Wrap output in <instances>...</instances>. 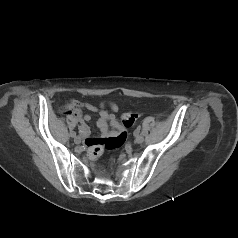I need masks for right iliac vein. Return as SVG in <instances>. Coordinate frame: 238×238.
Returning a JSON list of instances; mask_svg holds the SVG:
<instances>
[{
	"label": "right iliac vein",
	"mask_w": 238,
	"mask_h": 238,
	"mask_svg": "<svg viewBox=\"0 0 238 238\" xmlns=\"http://www.w3.org/2000/svg\"><path fill=\"white\" fill-rule=\"evenodd\" d=\"M74 142L76 144H80L81 143V137L80 136L75 137Z\"/></svg>",
	"instance_id": "63e3f726"
}]
</instances>
